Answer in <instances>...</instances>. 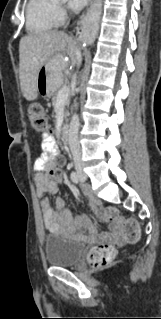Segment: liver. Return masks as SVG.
<instances>
[{
	"label": "liver",
	"instance_id": "obj_1",
	"mask_svg": "<svg viewBox=\"0 0 161 319\" xmlns=\"http://www.w3.org/2000/svg\"><path fill=\"white\" fill-rule=\"evenodd\" d=\"M64 53L74 54L75 44L64 32L47 31L22 37L19 43V78L26 100L37 98L38 72L51 57L57 56L63 69Z\"/></svg>",
	"mask_w": 161,
	"mask_h": 319
}]
</instances>
